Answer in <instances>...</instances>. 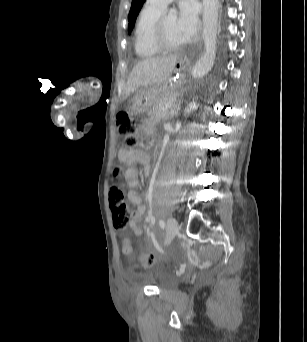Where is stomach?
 I'll return each mask as SVG.
<instances>
[{
    "label": "stomach",
    "mask_w": 307,
    "mask_h": 342,
    "mask_svg": "<svg viewBox=\"0 0 307 342\" xmlns=\"http://www.w3.org/2000/svg\"><path fill=\"white\" fill-rule=\"evenodd\" d=\"M190 61L187 58H178L173 71L168 79L160 86L139 91L128 103V113L139 115L151 108L158 98L173 93L178 94L180 87L185 82L186 72L189 69Z\"/></svg>",
    "instance_id": "0dacf381"
}]
</instances>
